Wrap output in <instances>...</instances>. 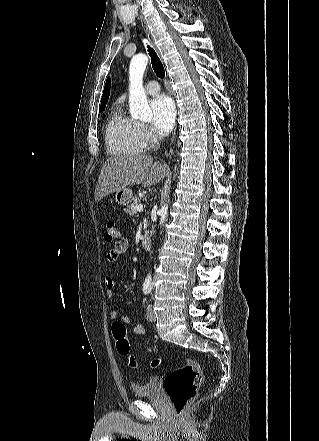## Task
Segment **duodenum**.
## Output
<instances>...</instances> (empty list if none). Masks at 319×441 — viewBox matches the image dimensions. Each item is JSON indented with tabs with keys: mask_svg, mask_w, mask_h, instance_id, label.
<instances>
[{
	"mask_svg": "<svg viewBox=\"0 0 319 441\" xmlns=\"http://www.w3.org/2000/svg\"><path fill=\"white\" fill-rule=\"evenodd\" d=\"M141 243L142 247L146 250H148L151 246V239L150 234L148 232H145L141 237Z\"/></svg>",
	"mask_w": 319,
	"mask_h": 441,
	"instance_id": "obj_1",
	"label": "duodenum"
}]
</instances>
